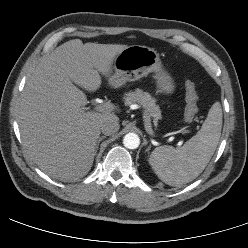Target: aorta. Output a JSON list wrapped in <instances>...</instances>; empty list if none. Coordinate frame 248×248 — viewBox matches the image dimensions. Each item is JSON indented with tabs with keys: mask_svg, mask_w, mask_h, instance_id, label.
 <instances>
[{
	"mask_svg": "<svg viewBox=\"0 0 248 248\" xmlns=\"http://www.w3.org/2000/svg\"><path fill=\"white\" fill-rule=\"evenodd\" d=\"M123 144L128 149H136L140 145L139 136L135 133H128L124 136Z\"/></svg>",
	"mask_w": 248,
	"mask_h": 248,
	"instance_id": "762f6f07",
	"label": "aorta"
}]
</instances>
